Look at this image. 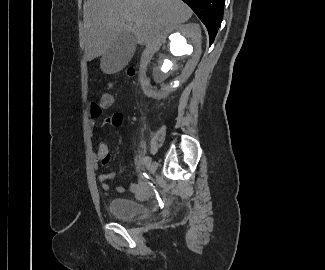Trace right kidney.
<instances>
[{
  "label": "right kidney",
  "instance_id": "right-kidney-1",
  "mask_svg": "<svg viewBox=\"0 0 325 270\" xmlns=\"http://www.w3.org/2000/svg\"><path fill=\"white\" fill-rule=\"evenodd\" d=\"M154 54L157 59L151 63ZM200 56L201 29L198 24L175 25L166 29L156 46L142 55L140 83L144 94L155 99L166 97L189 78Z\"/></svg>",
  "mask_w": 325,
  "mask_h": 270
}]
</instances>
